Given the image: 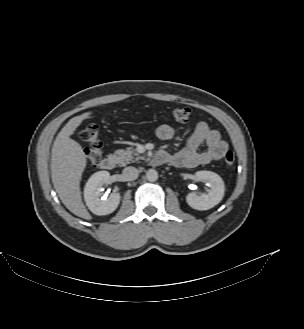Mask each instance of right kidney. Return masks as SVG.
I'll list each match as a JSON object with an SVG mask.
<instances>
[{
  "label": "right kidney",
  "instance_id": "obj_1",
  "mask_svg": "<svg viewBox=\"0 0 304 329\" xmlns=\"http://www.w3.org/2000/svg\"><path fill=\"white\" fill-rule=\"evenodd\" d=\"M108 171H98L87 181L84 188V199L90 211L96 215H107L115 211L120 202L119 193H111L109 197H102L103 185L109 183Z\"/></svg>",
  "mask_w": 304,
  "mask_h": 329
}]
</instances>
